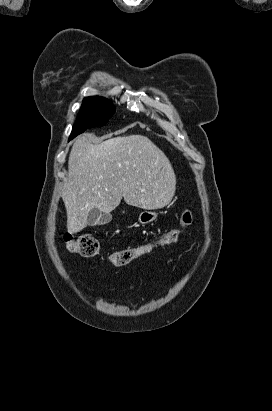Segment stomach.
Segmentation results:
<instances>
[{
  "mask_svg": "<svg viewBox=\"0 0 272 411\" xmlns=\"http://www.w3.org/2000/svg\"><path fill=\"white\" fill-rule=\"evenodd\" d=\"M157 218V213L149 210H144L139 214L138 220L141 224L145 225L153 222Z\"/></svg>",
  "mask_w": 272,
  "mask_h": 411,
  "instance_id": "stomach-1",
  "label": "stomach"
}]
</instances>
